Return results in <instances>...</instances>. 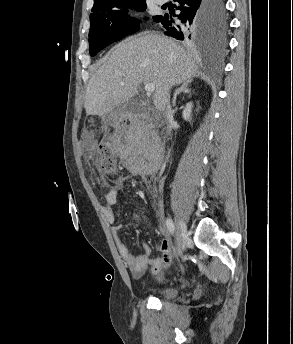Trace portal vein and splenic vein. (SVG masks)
Returning a JSON list of instances; mask_svg holds the SVG:
<instances>
[{"instance_id":"obj_1","label":"portal vein and splenic vein","mask_w":293,"mask_h":344,"mask_svg":"<svg viewBox=\"0 0 293 344\" xmlns=\"http://www.w3.org/2000/svg\"><path fill=\"white\" fill-rule=\"evenodd\" d=\"M144 89L147 93H152L155 91V85L152 83H147V84H145Z\"/></svg>"}]
</instances>
